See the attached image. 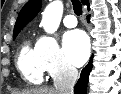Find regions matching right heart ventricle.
Instances as JSON below:
<instances>
[{
	"label": "right heart ventricle",
	"instance_id": "right-heart-ventricle-1",
	"mask_svg": "<svg viewBox=\"0 0 121 94\" xmlns=\"http://www.w3.org/2000/svg\"><path fill=\"white\" fill-rule=\"evenodd\" d=\"M17 66L22 78L29 84L43 82V69L39 64L36 47H32L29 41H24L20 47Z\"/></svg>",
	"mask_w": 121,
	"mask_h": 94
}]
</instances>
